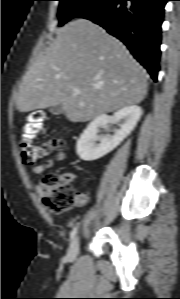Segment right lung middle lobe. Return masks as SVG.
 Returning a JSON list of instances; mask_svg holds the SVG:
<instances>
[{
	"mask_svg": "<svg viewBox=\"0 0 180 299\" xmlns=\"http://www.w3.org/2000/svg\"><path fill=\"white\" fill-rule=\"evenodd\" d=\"M59 26L74 17H78L103 0H59Z\"/></svg>",
	"mask_w": 180,
	"mask_h": 299,
	"instance_id": "dd1d6c3e",
	"label": "right lung middle lobe"
}]
</instances>
